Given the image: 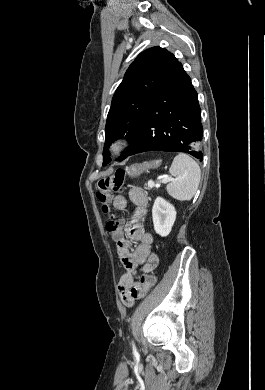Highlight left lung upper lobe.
<instances>
[{"label": "left lung upper lobe", "instance_id": "left-lung-upper-lobe-1", "mask_svg": "<svg viewBox=\"0 0 265 390\" xmlns=\"http://www.w3.org/2000/svg\"><path fill=\"white\" fill-rule=\"evenodd\" d=\"M177 63L172 53L158 46L141 52L131 63L114 93L107 116L103 165L111 161L108 147L124 134L130 143L119 160L128 156L139 136L149 104Z\"/></svg>", "mask_w": 265, "mask_h": 390}]
</instances>
